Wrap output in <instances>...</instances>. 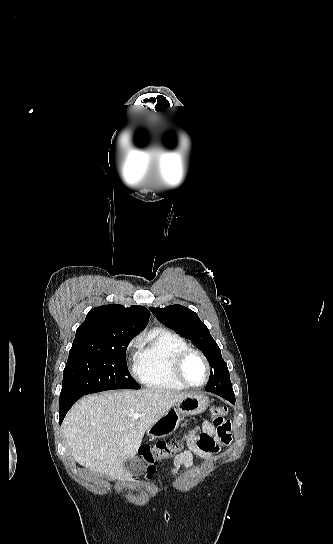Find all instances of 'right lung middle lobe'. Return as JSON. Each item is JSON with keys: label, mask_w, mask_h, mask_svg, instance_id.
<instances>
[{"label": "right lung middle lobe", "mask_w": 333, "mask_h": 544, "mask_svg": "<svg viewBox=\"0 0 333 544\" xmlns=\"http://www.w3.org/2000/svg\"><path fill=\"white\" fill-rule=\"evenodd\" d=\"M132 338H117L105 349H71L60 395L77 397L112 389H139L126 363V348Z\"/></svg>", "instance_id": "right-lung-middle-lobe-1"}]
</instances>
